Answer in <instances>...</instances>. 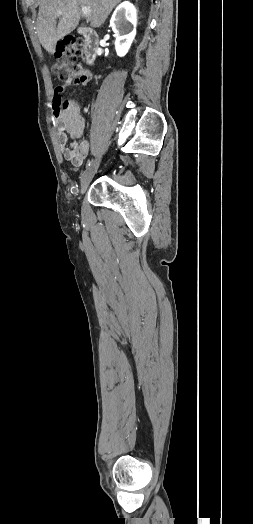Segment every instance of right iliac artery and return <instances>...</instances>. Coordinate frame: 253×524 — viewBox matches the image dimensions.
I'll return each mask as SVG.
<instances>
[{"label":"right iliac artery","mask_w":253,"mask_h":524,"mask_svg":"<svg viewBox=\"0 0 253 524\" xmlns=\"http://www.w3.org/2000/svg\"><path fill=\"white\" fill-rule=\"evenodd\" d=\"M91 163H92V160L88 159L87 164H86V169L91 165Z\"/></svg>","instance_id":"obj_1"}]
</instances>
